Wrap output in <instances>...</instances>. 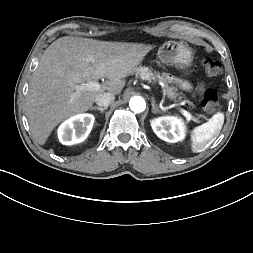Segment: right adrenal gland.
Masks as SVG:
<instances>
[{
    "label": "right adrenal gland",
    "mask_w": 253,
    "mask_h": 253,
    "mask_svg": "<svg viewBox=\"0 0 253 253\" xmlns=\"http://www.w3.org/2000/svg\"><path fill=\"white\" fill-rule=\"evenodd\" d=\"M108 107H91L90 110H98L101 113H103L105 110H107Z\"/></svg>",
    "instance_id": "right-adrenal-gland-1"
}]
</instances>
